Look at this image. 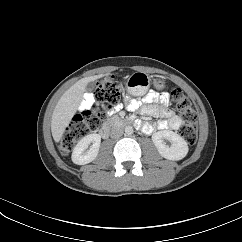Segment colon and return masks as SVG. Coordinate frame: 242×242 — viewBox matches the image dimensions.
<instances>
[{
    "mask_svg": "<svg viewBox=\"0 0 242 242\" xmlns=\"http://www.w3.org/2000/svg\"><path fill=\"white\" fill-rule=\"evenodd\" d=\"M121 98V88L117 80L109 76L100 80L92 94L93 102L88 108L74 117L60 140V151L68 154L76 142L98 128L112 106ZM171 102L186 120L181 129L184 140L193 145L197 140V114L191 102L179 88L171 92Z\"/></svg>",
    "mask_w": 242,
    "mask_h": 242,
    "instance_id": "5ec220e1",
    "label": "colon"
}]
</instances>
